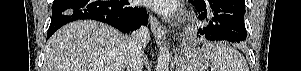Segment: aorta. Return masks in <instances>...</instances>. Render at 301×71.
Here are the masks:
<instances>
[{
  "label": "aorta",
  "instance_id": "762f6f07",
  "mask_svg": "<svg viewBox=\"0 0 301 71\" xmlns=\"http://www.w3.org/2000/svg\"><path fill=\"white\" fill-rule=\"evenodd\" d=\"M169 50L167 46L164 44L163 47H161L158 60H157V66L156 71H169Z\"/></svg>",
  "mask_w": 301,
  "mask_h": 71
}]
</instances>
